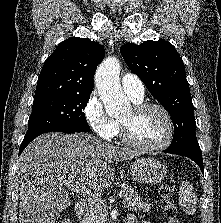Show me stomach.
I'll return each mask as SVG.
<instances>
[{"instance_id":"stomach-1","label":"stomach","mask_w":221,"mask_h":223,"mask_svg":"<svg viewBox=\"0 0 221 223\" xmlns=\"http://www.w3.org/2000/svg\"><path fill=\"white\" fill-rule=\"evenodd\" d=\"M130 172L134 178L145 184H157L166 176V168L156 159H137L130 164Z\"/></svg>"}]
</instances>
